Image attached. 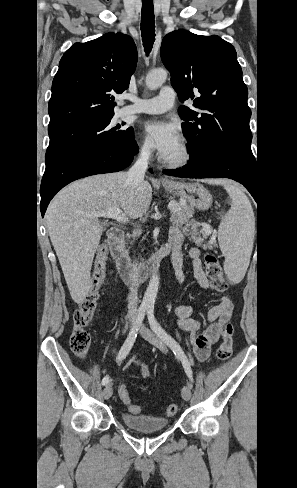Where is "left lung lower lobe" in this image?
Returning <instances> with one entry per match:
<instances>
[{
    "label": "left lung lower lobe",
    "mask_w": 297,
    "mask_h": 488,
    "mask_svg": "<svg viewBox=\"0 0 297 488\" xmlns=\"http://www.w3.org/2000/svg\"><path fill=\"white\" fill-rule=\"evenodd\" d=\"M164 173L185 178H230L243 184L258 202L255 159L249 160L226 152H211L199 159L188 161L181 169Z\"/></svg>",
    "instance_id": "1"
}]
</instances>
